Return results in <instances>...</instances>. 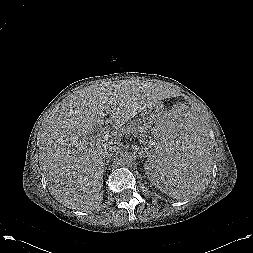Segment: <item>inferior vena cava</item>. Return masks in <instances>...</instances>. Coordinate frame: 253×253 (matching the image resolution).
<instances>
[{
    "label": "inferior vena cava",
    "instance_id": "obj_1",
    "mask_svg": "<svg viewBox=\"0 0 253 253\" xmlns=\"http://www.w3.org/2000/svg\"><path fill=\"white\" fill-rule=\"evenodd\" d=\"M117 150V147L116 146H113V145H107V147L105 148V151H104V157L108 158V157H111L114 152Z\"/></svg>",
    "mask_w": 253,
    "mask_h": 253
}]
</instances>
